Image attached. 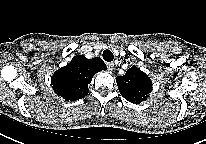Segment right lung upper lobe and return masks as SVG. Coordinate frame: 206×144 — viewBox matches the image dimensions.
<instances>
[{"label": "right lung upper lobe", "mask_w": 206, "mask_h": 144, "mask_svg": "<svg viewBox=\"0 0 206 144\" xmlns=\"http://www.w3.org/2000/svg\"><path fill=\"white\" fill-rule=\"evenodd\" d=\"M101 58L87 59L75 56L66 66L57 70L51 78L55 93L66 101H75L88 94V85L95 73L106 70Z\"/></svg>", "instance_id": "right-lung-upper-lobe-1"}]
</instances>
